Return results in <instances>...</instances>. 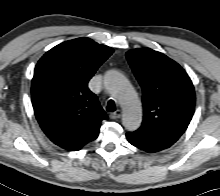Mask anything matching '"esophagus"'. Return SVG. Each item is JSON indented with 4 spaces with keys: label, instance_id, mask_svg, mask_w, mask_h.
<instances>
[{
    "label": "esophagus",
    "instance_id": "1",
    "mask_svg": "<svg viewBox=\"0 0 220 196\" xmlns=\"http://www.w3.org/2000/svg\"><path fill=\"white\" fill-rule=\"evenodd\" d=\"M120 117H121L120 110H117L116 112L110 114V118L113 120L119 119Z\"/></svg>",
    "mask_w": 220,
    "mask_h": 196
}]
</instances>
